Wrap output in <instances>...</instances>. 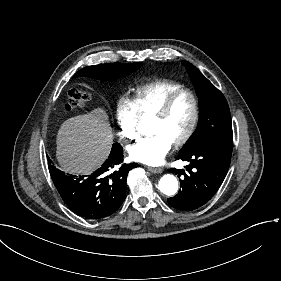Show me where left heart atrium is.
Returning a JSON list of instances; mask_svg holds the SVG:
<instances>
[{"label": "left heart atrium", "mask_w": 281, "mask_h": 281, "mask_svg": "<svg viewBox=\"0 0 281 281\" xmlns=\"http://www.w3.org/2000/svg\"><path fill=\"white\" fill-rule=\"evenodd\" d=\"M171 147L172 142L166 136L155 133L134 144L130 149V156L134 161L146 165H159Z\"/></svg>", "instance_id": "left-heart-atrium-1"}]
</instances>
